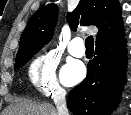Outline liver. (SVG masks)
Returning <instances> with one entry per match:
<instances>
[{
	"label": "liver",
	"mask_w": 131,
	"mask_h": 115,
	"mask_svg": "<svg viewBox=\"0 0 131 115\" xmlns=\"http://www.w3.org/2000/svg\"><path fill=\"white\" fill-rule=\"evenodd\" d=\"M3 115H58L51 104H40L31 100H16L3 112Z\"/></svg>",
	"instance_id": "liver-1"
}]
</instances>
